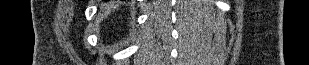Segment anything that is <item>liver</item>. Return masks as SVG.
<instances>
[{"label": "liver", "instance_id": "6515ba94", "mask_svg": "<svg viewBox=\"0 0 309 65\" xmlns=\"http://www.w3.org/2000/svg\"><path fill=\"white\" fill-rule=\"evenodd\" d=\"M116 7V2L115 1H110L109 3H104L101 4V11L102 13H100V20H102L103 18H106L109 13L111 12L112 9H114Z\"/></svg>", "mask_w": 309, "mask_h": 65}]
</instances>
